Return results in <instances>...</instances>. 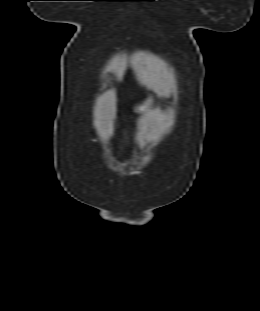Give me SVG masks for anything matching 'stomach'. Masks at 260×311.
<instances>
[{
    "label": "stomach",
    "instance_id": "0dacf381",
    "mask_svg": "<svg viewBox=\"0 0 260 311\" xmlns=\"http://www.w3.org/2000/svg\"><path fill=\"white\" fill-rule=\"evenodd\" d=\"M152 102H153V99H152V98H150V99L147 100V104H150V103H152ZM142 109H143V106H139V107L136 108V111H141Z\"/></svg>",
    "mask_w": 260,
    "mask_h": 311
}]
</instances>
